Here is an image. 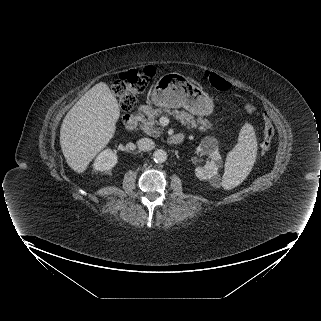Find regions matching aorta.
Returning a JSON list of instances; mask_svg holds the SVG:
<instances>
[{"label":"aorta","mask_w":321,"mask_h":321,"mask_svg":"<svg viewBox=\"0 0 321 321\" xmlns=\"http://www.w3.org/2000/svg\"><path fill=\"white\" fill-rule=\"evenodd\" d=\"M153 160L156 163H163L167 160V153L163 149H157L153 153Z\"/></svg>","instance_id":"obj_1"}]
</instances>
